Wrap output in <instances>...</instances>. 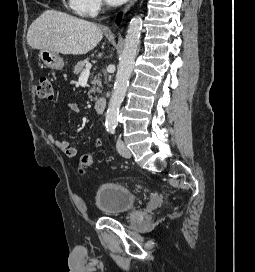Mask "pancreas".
I'll use <instances>...</instances> for the list:
<instances>
[{"mask_svg": "<svg viewBox=\"0 0 255 272\" xmlns=\"http://www.w3.org/2000/svg\"><path fill=\"white\" fill-rule=\"evenodd\" d=\"M89 64V59H85L83 61L78 62L74 69L73 72L76 75H79L82 73V71L84 70V67H86V65ZM92 87L90 88L89 92H88V96L90 98V100H96L97 96L94 97L93 94H95L96 92L100 93V86H101V81H100V75L95 76L92 81H91Z\"/></svg>", "mask_w": 255, "mask_h": 272, "instance_id": "1", "label": "pancreas"}]
</instances>
